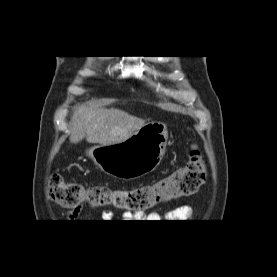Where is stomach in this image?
Instances as JSON below:
<instances>
[{"label":"stomach","mask_w":277,"mask_h":277,"mask_svg":"<svg viewBox=\"0 0 277 277\" xmlns=\"http://www.w3.org/2000/svg\"><path fill=\"white\" fill-rule=\"evenodd\" d=\"M167 140L166 125L151 122L125 141L94 146L86 154L103 172L133 179L156 169L165 154Z\"/></svg>","instance_id":"0dacf381"}]
</instances>
